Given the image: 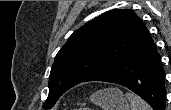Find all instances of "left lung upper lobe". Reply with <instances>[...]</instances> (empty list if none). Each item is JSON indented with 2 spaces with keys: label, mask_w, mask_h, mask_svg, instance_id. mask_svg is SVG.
<instances>
[{
  "label": "left lung upper lobe",
  "mask_w": 171,
  "mask_h": 110,
  "mask_svg": "<svg viewBox=\"0 0 171 110\" xmlns=\"http://www.w3.org/2000/svg\"><path fill=\"white\" fill-rule=\"evenodd\" d=\"M148 34L142 19L129 9L110 10L83 25L55 57L43 108L53 107L73 86L113 68Z\"/></svg>",
  "instance_id": "left-lung-upper-lobe-1"
}]
</instances>
